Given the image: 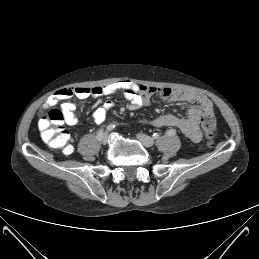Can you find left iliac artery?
Instances as JSON below:
<instances>
[{
  "label": "left iliac artery",
  "instance_id": "obj_1",
  "mask_svg": "<svg viewBox=\"0 0 259 259\" xmlns=\"http://www.w3.org/2000/svg\"><path fill=\"white\" fill-rule=\"evenodd\" d=\"M176 134V130L175 129H169L166 131V135L167 136H173Z\"/></svg>",
  "mask_w": 259,
  "mask_h": 259
}]
</instances>
